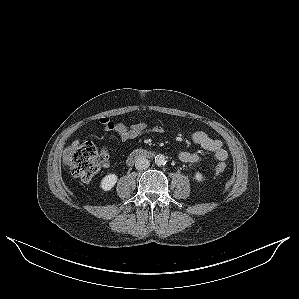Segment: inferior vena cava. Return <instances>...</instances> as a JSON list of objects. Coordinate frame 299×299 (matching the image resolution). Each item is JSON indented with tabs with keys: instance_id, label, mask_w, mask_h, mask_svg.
I'll return each instance as SVG.
<instances>
[{
	"instance_id": "obj_1",
	"label": "inferior vena cava",
	"mask_w": 299,
	"mask_h": 299,
	"mask_svg": "<svg viewBox=\"0 0 299 299\" xmlns=\"http://www.w3.org/2000/svg\"><path fill=\"white\" fill-rule=\"evenodd\" d=\"M149 160L145 157H138L135 163V167L137 170H145L149 167Z\"/></svg>"
}]
</instances>
